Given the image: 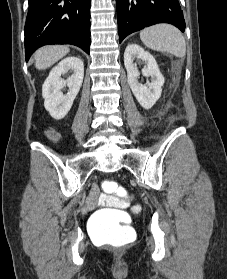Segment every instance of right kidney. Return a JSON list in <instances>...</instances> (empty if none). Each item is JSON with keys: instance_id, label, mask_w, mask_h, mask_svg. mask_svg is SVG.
<instances>
[{"instance_id": "1", "label": "right kidney", "mask_w": 227, "mask_h": 279, "mask_svg": "<svg viewBox=\"0 0 227 279\" xmlns=\"http://www.w3.org/2000/svg\"><path fill=\"white\" fill-rule=\"evenodd\" d=\"M73 74L64 80L62 78L68 71ZM84 77V64L82 59L70 56L63 59L49 73L42 86V96L44 106L54 119H62L70 111L73 101L78 94ZM68 86L67 94L62 93V89Z\"/></svg>"}]
</instances>
